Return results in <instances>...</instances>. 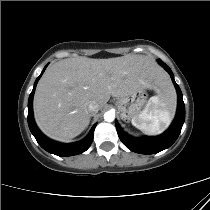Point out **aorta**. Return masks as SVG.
Listing matches in <instances>:
<instances>
[{
	"mask_svg": "<svg viewBox=\"0 0 210 210\" xmlns=\"http://www.w3.org/2000/svg\"><path fill=\"white\" fill-rule=\"evenodd\" d=\"M115 119V113L112 111H107L104 114V120L107 122H112Z\"/></svg>",
	"mask_w": 210,
	"mask_h": 210,
	"instance_id": "aorta-1",
	"label": "aorta"
}]
</instances>
